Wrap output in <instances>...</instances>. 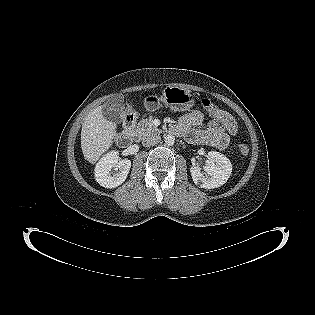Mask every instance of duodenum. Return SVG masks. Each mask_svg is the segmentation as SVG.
<instances>
[{"mask_svg": "<svg viewBox=\"0 0 315 315\" xmlns=\"http://www.w3.org/2000/svg\"><path fill=\"white\" fill-rule=\"evenodd\" d=\"M136 124V117L133 119H124L123 118V129L116 136V143L120 147H127L133 137V131ZM170 132L173 134H177V130L174 127H171Z\"/></svg>", "mask_w": 315, "mask_h": 315, "instance_id": "obj_1", "label": "duodenum"}]
</instances>
